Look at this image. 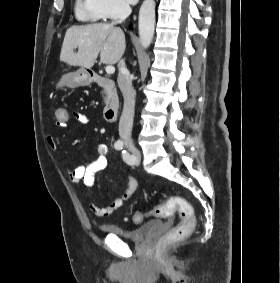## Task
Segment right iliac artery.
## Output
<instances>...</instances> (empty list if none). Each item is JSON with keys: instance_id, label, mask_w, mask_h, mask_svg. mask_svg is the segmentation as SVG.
<instances>
[{"instance_id": "right-iliac-artery-1", "label": "right iliac artery", "mask_w": 280, "mask_h": 283, "mask_svg": "<svg viewBox=\"0 0 280 283\" xmlns=\"http://www.w3.org/2000/svg\"><path fill=\"white\" fill-rule=\"evenodd\" d=\"M114 147H115L116 150H121L123 148V143L121 141H117L114 144Z\"/></svg>"}]
</instances>
